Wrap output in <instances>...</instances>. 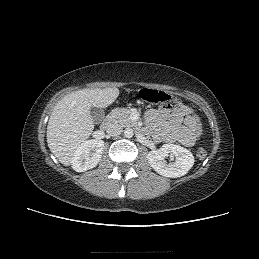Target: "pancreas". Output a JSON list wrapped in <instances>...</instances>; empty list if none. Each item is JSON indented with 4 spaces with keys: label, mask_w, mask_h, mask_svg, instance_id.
Returning a JSON list of instances; mask_svg holds the SVG:
<instances>
[{
    "label": "pancreas",
    "mask_w": 259,
    "mask_h": 259,
    "mask_svg": "<svg viewBox=\"0 0 259 259\" xmlns=\"http://www.w3.org/2000/svg\"><path fill=\"white\" fill-rule=\"evenodd\" d=\"M110 120L122 127L134 126L135 122L130 119V111L125 108L113 109L110 113Z\"/></svg>",
    "instance_id": "obj_1"
}]
</instances>
